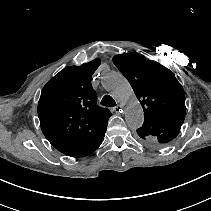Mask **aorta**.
Returning a JSON list of instances; mask_svg holds the SVG:
<instances>
[{"instance_id":"obj_1","label":"aorta","mask_w":211,"mask_h":211,"mask_svg":"<svg viewBox=\"0 0 211 211\" xmlns=\"http://www.w3.org/2000/svg\"><path fill=\"white\" fill-rule=\"evenodd\" d=\"M102 83L104 88L125 106L127 124L133 129L141 127L144 120L143 110L127 79L120 73L110 72L103 76Z\"/></svg>"}]
</instances>
